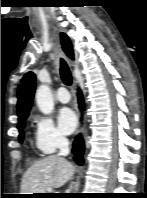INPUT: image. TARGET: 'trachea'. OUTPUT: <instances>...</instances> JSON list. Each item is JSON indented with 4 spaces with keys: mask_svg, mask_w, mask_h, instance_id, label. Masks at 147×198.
Returning a JSON list of instances; mask_svg holds the SVG:
<instances>
[{
    "mask_svg": "<svg viewBox=\"0 0 147 198\" xmlns=\"http://www.w3.org/2000/svg\"><path fill=\"white\" fill-rule=\"evenodd\" d=\"M60 75H61L62 81L66 85L70 86L72 84V76H71L70 69L67 63L63 59L60 60Z\"/></svg>",
    "mask_w": 147,
    "mask_h": 198,
    "instance_id": "trachea-1",
    "label": "trachea"
}]
</instances>
